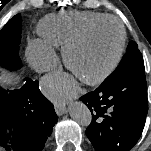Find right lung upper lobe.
<instances>
[{"label":"right lung upper lobe","instance_id":"right-lung-upper-lobe-1","mask_svg":"<svg viewBox=\"0 0 151 151\" xmlns=\"http://www.w3.org/2000/svg\"><path fill=\"white\" fill-rule=\"evenodd\" d=\"M4 127V117L3 115H0V128Z\"/></svg>","mask_w":151,"mask_h":151}]
</instances>
